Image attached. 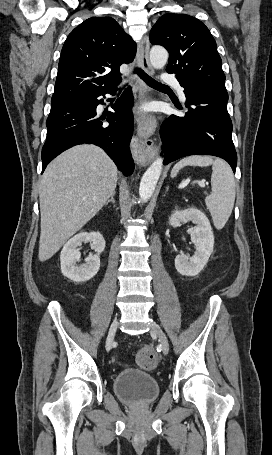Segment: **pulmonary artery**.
<instances>
[{
  "instance_id": "pulmonary-artery-1",
  "label": "pulmonary artery",
  "mask_w": 272,
  "mask_h": 455,
  "mask_svg": "<svg viewBox=\"0 0 272 455\" xmlns=\"http://www.w3.org/2000/svg\"><path fill=\"white\" fill-rule=\"evenodd\" d=\"M162 81L164 83H167V84H170V85H173L180 97L184 100L185 99V95H184V89L183 87L180 85L179 81L175 78V76L171 75V74H163L162 75Z\"/></svg>"
}]
</instances>
